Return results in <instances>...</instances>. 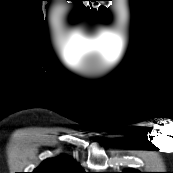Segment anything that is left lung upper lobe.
<instances>
[{
	"mask_svg": "<svg viewBox=\"0 0 173 173\" xmlns=\"http://www.w3.org/2000/svg\"><path fill=\"white\" fill-rule=\"evenodd\" d=\"M122 173H141V172H139L138 170L128 169Z\"/></svg>",
	"mask_w": 173,
	"mask_h": 173,
	"instance_id": "5c2ea615",
	"label": "left lung upper lobe"
}]
</instances>
